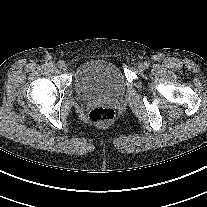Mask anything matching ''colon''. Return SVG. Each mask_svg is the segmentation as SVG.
<instances>
[{"label": "colon", "mask_w": 207, "mask_h": 207, "mask_svg": "<svg viewBox=\"0 0 207 207\" xmlns=\"http://www.w3.org/2000/svg\"><path fill=\"white\" fill-rule=\"evenodd\" d=\"M115 117V111L109 106H99L92 109L89 113V119L98 126L110 124Z\"/></svg>", "instance_id": "1"}]
</instances>
